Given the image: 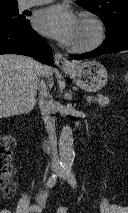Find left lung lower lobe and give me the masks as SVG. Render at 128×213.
<instances>
[{
    "instance_id": "0a47b994",
    "label": "left lung lower lobe",
    "mask_w": 128,
    "mask_h": 213,
    "mask_svg": "<svg viewBox=\"0 0 128 213\" xmlns=\"http://www.w3.org/2000/svg\"><path fill=\"white\" fill-rule=\"evenodd\" d=\"M123 50H128V24H125L112 32H108L107 39L97 49L88 53L70 56L73 59L82 60L101 54L115 53Z\"/></svg>"
}]
</instances>
